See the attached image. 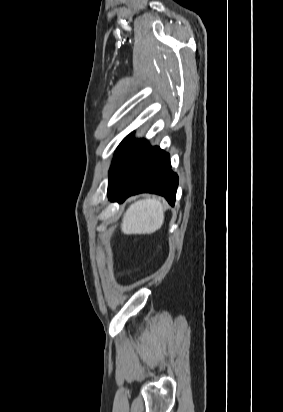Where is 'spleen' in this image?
Wrapping results in <instances>:
<instances>
[{
    "mask_svg": "<svg viewBox=\"0 0 283 412\" xmlns=\"http://www.w3.org/2000/svg\"><path fill=\"white\" fill-rule=\"evenodd\" d=\"M164 223L163 205L158 199H144L132 204L123 216L121 230L124 234H152Z\"/></svg>",
    "mask_w": 283,
    "mask_h": 412,
    "instance_id": "1",
    "label": "spleen"
}]
</instances>
